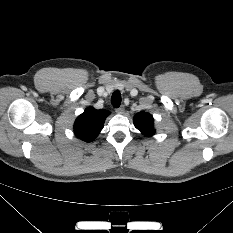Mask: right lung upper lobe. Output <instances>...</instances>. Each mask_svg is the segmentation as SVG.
Here are the masks:
<instances>
[{
  "mask_svg": "<svg viewBox=\"0 0 233 233\" xmlns=\"http://www.w3.org/2000/svg\"><path fill=\"white\" fill-rule=\"evenodd\" d=\"M109 111L88 107L74 123L75 135L86 142L93 141L103 129Z\"/></svg>",
  "mask_w": 233,
  "mask_h": 233,
  "instance_id": "cb5924a9",
  "label": "right lung upper lobe"
}]
</instances>
